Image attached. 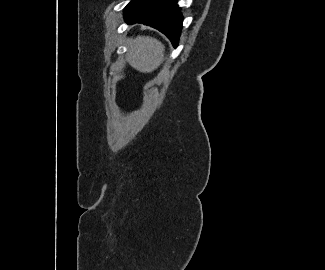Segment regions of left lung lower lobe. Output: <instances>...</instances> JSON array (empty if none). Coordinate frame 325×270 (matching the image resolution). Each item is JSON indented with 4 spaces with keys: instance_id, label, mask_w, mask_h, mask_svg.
I'll list each match as a JSON object with an SVG mask.
<instances>
[{
    "instance_id": "0a47b994",
    "label": "left lung lower lobe",
    "mask_w": 325,
    "mask_h": 270,
    "mask_svg": "<svg viewBox=\"0 0 325 270\" xmlns=\"http://www.w3.org/2000/svg\"><path fill=\"white\" fill-rule=\"evenodd\" d=\"M124 17L128 23L156 28L177 47L183 19L176 0H132L124 8Z\"/></svg>"
}]
</instances>
